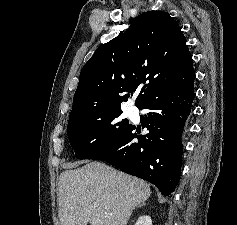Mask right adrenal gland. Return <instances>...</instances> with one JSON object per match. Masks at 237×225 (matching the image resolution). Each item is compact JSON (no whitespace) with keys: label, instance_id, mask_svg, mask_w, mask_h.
<instances>
[{"label":"right adrenal gland","instance_id":"2a0ac1e0","mask_svg":"<svg viewBox=\"0 0 237 225\" xmlns=\"http://www.w3.org/2000/svg\"><path fill=\"white\" fill-rule=\"evenodd\" d=\"M144 205H145V203L138 205V207H142V206H144Z\"/></svg>","mask_w":237,"mask_h":225}]
</instances>
